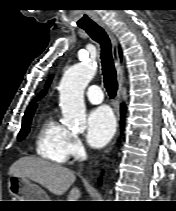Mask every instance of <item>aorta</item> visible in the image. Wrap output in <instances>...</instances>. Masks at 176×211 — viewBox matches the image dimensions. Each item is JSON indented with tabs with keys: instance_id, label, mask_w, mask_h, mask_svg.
<instances>
[{
	"instance_id": "1",
	"label": "aorta",
	"mask_w": 176,
	"mask_h": 211,
	"mask_svg": "<svg viewBox=\"0 0 176 211\" xmlns=\"http://www.w3.org/2000/svg\"><path fill=\"white\" fill-rule=\"evenodd\" d=\"M97 67L93 63L71 66L64 73L60 85V107L63 124L76 131L86 128L84 90L93 79Z\"/></svg>"
}]
</instances>
